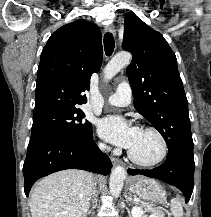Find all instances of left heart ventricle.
Masks as SVG:
<instances>
[{"label":"left heart ventricle","instance_id":"1","mask_svg":"<svg viewBox=\"0 0 211 217\" xmlns=\"http://www.w3.org/2000/svg\"><path fill=\"white\" fill-rule=\"evenodd\" d=\"M130 151L139 160L153 161L161 155L162 144L155 133L140 130Z\"/></svg>","mask_w":211,"mask_h":217}]
</instances>
